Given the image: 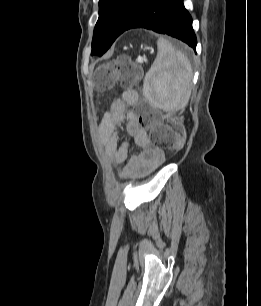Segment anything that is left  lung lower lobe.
<instances>
[{
  "label": "left lung lower lobe",
  "instance_id": "1",
  "mask_svg": "<svg viewBox=\"0 0 261 306\" xmlns=\"http://www.w3.org/2000/svg\"><path fill=\"white\" fill-rule=\"evenodd\" d=\"M145 28L175 37L196 50L192 18L183 0H145L124 31Z\"/></svg>",
  "mask_w": 261,
  "mask_h": 306
}]
</instances>
